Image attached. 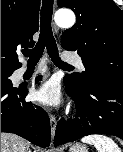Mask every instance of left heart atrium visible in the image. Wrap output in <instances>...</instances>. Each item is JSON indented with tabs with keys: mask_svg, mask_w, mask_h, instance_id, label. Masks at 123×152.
I'll return each mask as SVG.
<instances>
[{
	"mask_svg": "<svg viewBox=\"0 0 123 152\" xmlns=\"http://www.w3.org/2000/svg\"><path fill=\"white\" fill-rule=\"evenodd\" d=\"M36 100L42 105L57 107L61 103V92L55 80L43 83L35 93Z\"/></svg>",
	"mask_w": 123,
	"mask_h": 152,
	"instance_id": "39dd6f15",
	"label": "left heart atrium"
}]
</instances>
